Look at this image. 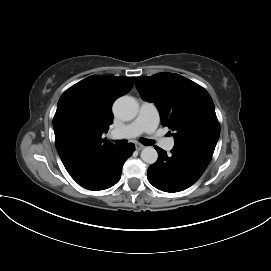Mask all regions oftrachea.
Wrapping results in <instances>:
<instances>
[{
    "instance_id": "1",
    "label": "trachea",
    "mask_w": 271,
    "mask_h": 271,
    "mask_svg": "<svg viewBox=\"0 0 271 271\" xmlns=\"http://www.w3.org/2000/svg\"><path fill=\"white\" fill-rule=\"evenodd\" d=\"M114 142H115L116 144H125V143H127L126 140H116V141H114ZM140 142H141L143 145H145V146H150V145H152V144L154 143L153 140L145 139V138L141 139Z\"/></svg>"
}]
</instances>
